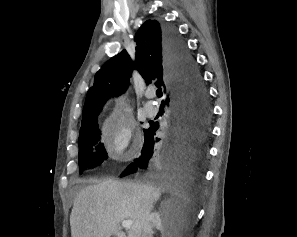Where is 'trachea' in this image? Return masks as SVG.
Returning a JSON list of instances; mask_svg holds the SVG:
<instances>
[{
	"label": "trachea",
	"mask_w": 297,
	"mask_h": 237,
	"mask_svg": "<svg viewBox=\"0 0 297 237\" xmlns=\"http://www.w3.org/2000/svg\"><path fill=\"white\" fill-rule=\"evenodd\" d=\"M156 95H157V97H162L163 93H162V89L161 88H158L156 90Z\"/></svg>",
	"instance_id": "3493384b"
}]
</instances>
